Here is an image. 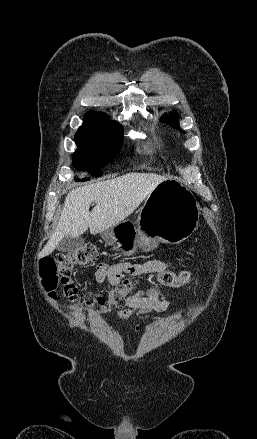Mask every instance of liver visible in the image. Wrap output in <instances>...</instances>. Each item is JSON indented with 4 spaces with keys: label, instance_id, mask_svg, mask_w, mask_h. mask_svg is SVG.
<instances>
[{
    "label": "liver",
    "instance_id": "6515ba94",
    "mask_svg": "<svg viewBox=\"0 0 257 439\" xmlns=\"http://www.w3.org/2000/svg\"><path fill=\"white\" fill-rule=\"evenodd\" d=\"M166 179L153 173L135 172L71 190L56 230L39 257L51 254L65 236L78 237L88 228L95 235L124 221ZM92 202L96 205L90 212Z\"/></svg>",
    "mask_w": 257,
    "mask_h": 439
}]
</instances>
